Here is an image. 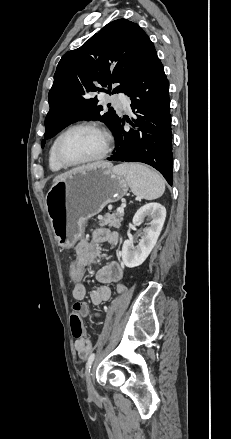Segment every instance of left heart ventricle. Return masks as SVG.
Masks as SVG:
<instances>
[{
  "label": "left heart ventricle",
  "instance_id": "obj_1",
  "mask_svg": "<svg viewBox=\"0 0 231 439\" xmlns=\"http://www.w3.org/2000/svg\"><path fill=\"white\" fill-rule=\"evenodd\" d=\"M104 147V138L96 130L78 129L66 135L61 144L64 157L81 161L98 155Z\"/></svg>",
  "mask_w": 231,
  "mask_h": 439
}]
</instances>
